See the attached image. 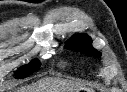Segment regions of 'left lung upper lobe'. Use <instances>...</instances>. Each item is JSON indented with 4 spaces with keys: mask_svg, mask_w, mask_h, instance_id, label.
<instances>
[{
    "mask_svg": "<svg viewBox=\"0 0 127 92\" xmlns=\"http://www.w3.org/2000/svg\"><path fill=\"white\" fill-rule=\"evenodd\" d=\"M91 43H92L91 38L86 34H82V35H74L66 43V46L69 49H75L76 51H81L89 55L100 56V53L92 47Z\"/></svg>",
    "mask_w": 127,
    "mask_h": 92,
    "instance_id": "obj_1",
    "label": "left lung upper lobe"
}]
</instances>
